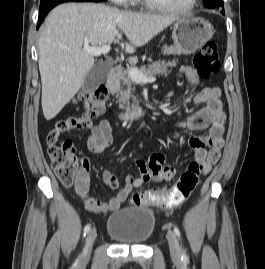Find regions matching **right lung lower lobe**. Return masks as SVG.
<instances>
[{"mask_svg": "<svg viewBox=\"0 0 265 269\" xmlns=\"http://www.w3.org/2000/svg\"><path fill=\"white\" fill-rule=\"evenodd\" d=\"M106 0H41L37 29L41 25L47 13L56 5L65 2H103Z\"/></svg>", "mask_w": 265, "mask_h": 269, "instance_id": "1", "label": "right lung lower lobe"}]
</instances>
